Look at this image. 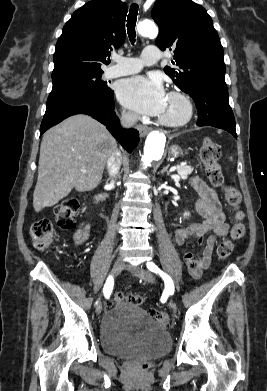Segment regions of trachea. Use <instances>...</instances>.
<instances>
[{
  "label": "trachea",
  "mask_w": 267,
  "mask_h": 391,
  "mask_svg": "<svg viewBox=\"0 0 267 391\" xmlns=\"http://www.w3.org/2000/svg\"><path fill=\"white\" fill-rule=\"evenodd\" d=\"M137 15H138V5L136 3H133L130 7L129 14L127 17V24H126L127 33L132 44H134L136 41L135 26L137 21Z\"/></svg>",
  "instance_id": "1"
}]
</instances>
